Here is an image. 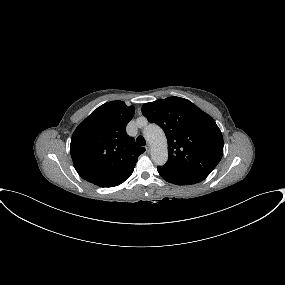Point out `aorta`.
Masks as SVG:
<instances>
[{"label":"aorta","instance_id":"762f6f07","mask_svg":"<svg viewBox=\"0 0 285 285\" xmlns=\"http://www.w3.org/2000/svg\"><path fill=\"white\" fill-rule=\"evenodd\" d=\"M143 134L151 145V159L156 165H164L168 160L167 139L163 130L156 124L147 125Z\"/></svg>","mask_w":285,"mask_h":285}]
</instances>
